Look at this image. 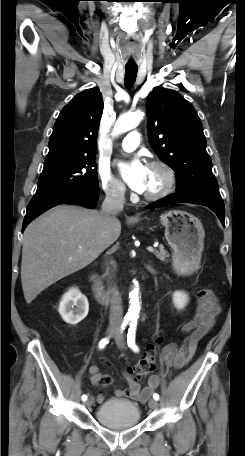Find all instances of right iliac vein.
<instances>
[{
  "label": "right iliac vein",
  "instance_id": "obj_1",
  "mask_svg": "<svg viewBox=\"0 0 245 456\" xmlns=\"http://www.w3.org/2000/svg\"><path fill=\"white\" fill-rule=\"evenodd\" d=\"M116 333V328L115 327H110L108 330H107V334L109 336L113 335ZM94 402V399L92 397H90L89 399L86 400V402L84 403L87 407H90Z\"/></svg>",
  "mask_w": 245,
  "mask_h": 456
}]
</instances>
